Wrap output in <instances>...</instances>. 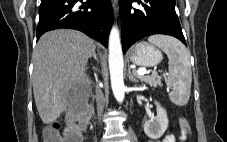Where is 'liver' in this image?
Listing matches in <instances>:
<instances>
[{
	"label": "liver",
	"mask_w": 227,
	"mask_h": 142,
	"mask_svg": "<svg viewBox=\"0 0 227 142\" xmlns=\"http://www.w3.org/2000/svg\"><path fill=\"white\" fill-rule=\"evenodd\" d=\"M94 41L82 32L57 29L41 36L33 53V93L38 113L50 124L70 105L90 80L85 74Z\"/></svg>",
	"instance_id": "obj_1"
}]
</instances>
